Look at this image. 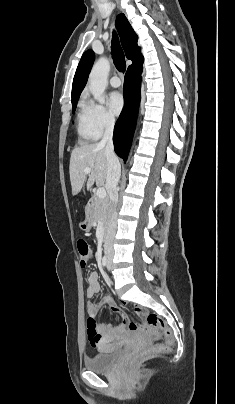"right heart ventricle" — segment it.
Returning <instances> with one entry per match:
<instances>
[{
  "mask_svg": "<svg viewBox=\"0 0 235 404\" xmlns=\"http://www.w3.org/2000/svg\"><path fill=\"white\" fill-rule=\"evenodd\" d=\"M76 128L81 143H88L99 137L92 127L88 110L83 102L80 103L77 114Z\"/></svg>",
  "mask_w": 235,
  "mask_h": 404,
  "instance_id": "e07e8e85",
  "label": "right heart ventricle"
}]
</instances>
